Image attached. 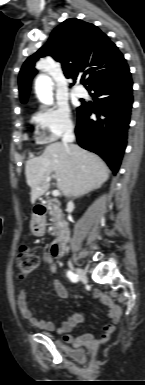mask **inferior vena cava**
I'll list each match as a JSON object with an SVG mask.
<instances>
[{
	"mask_svg": "<svg viewBox=\"0 0 145 385\" xmlns=\"http://www.w3.org/2000/svg\"><path fill=\"white\" fill-rule=\"evenodd\" d=\"M75 140V135L73 133V128L70 127L66 130V132L64 133L63 137H62V142L64 145H72L71 143H73Z\"/></svg>",
	"mask_w": 145,
	"mask_h": 385,
	"instance_id": "1",
	"label": "inferior vena cava"
}]
</instances>
